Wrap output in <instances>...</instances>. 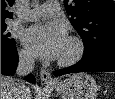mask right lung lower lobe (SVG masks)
<instances>
[{"instance_id": "obj_1", "label": "right lung lower lobe", "mask_w": 115, "mask_h": 99, "mask_svg": "<svg viewBox=\"0 0 115 99\" xmlns=\"http://www.w3.org/2000/svg\"><path fill=\"white\" fill-rule=\"evenodd\" d=\"M18 65V53L15 42L10 46H1V74L13 75ZM31 83H35V78L29 75L25 78Z\"/></svg>"}]
</instances>
